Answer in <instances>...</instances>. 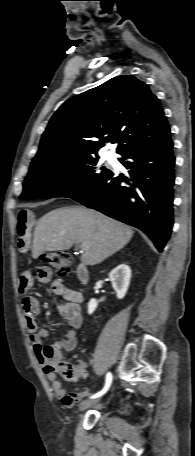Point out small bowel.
Segmentation results:
<instances>
[{
    "label": "small bowel",
    "instance_id": "c3829d8e",
    "mask_svg": "<svg viewBox=\"0 0 195 456\" xmlns=\"http://www.w3.org/2000/svg\"><path fill=\"white\" fill-rule=\"evenodd\" d=\"M33 217L28 212H21L17 220L18 249L25 253L28 251L33 228ZM37 281L51 284V290L58 299L59 311L69 325L65 336L54 341L51 345H43V340L48 336V330L39 329L36 317L40 312V304L33 296H24L21 301L26 329L33 346L37 360L42 365H49L61 360L64 351H72L77 346V330L81 327L83 318L81 314L82 294L74 289L67 288L61 279H52V271L47 266H41L36 273ZM19 292L23 295L33 285V276L29 271L23 272L18 280ZM48 350L50 351L48 353ZM78 367L86 373V363L78 361ZM46 369V368H45ZM47 379L51 383L52 391L56 398L67 407H73L78 401L88 395L87 388H79L73 393H67L56 375L46 371Z\"/></svg>",
    "mask_w": 195,
    "mask_h": 456
}]
</instances>
